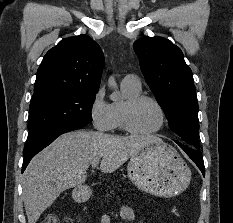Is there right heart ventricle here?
<instances>
[{"instance_id":"right-heart-ventricle-1","label":"right heart ventricle","mask_w":233,"mask_h":223,"mask_svg":"<svg viewBox=\"0 0 233 223\" xmlns=\"http://www.w3.org/2000/svg\"><path fill=\"white\" fill-rule=\"evenodd\" d=\"M123 92V101L113 103L112 106V115H113V129L119 131H126L123 122V107L125 103L134 97H137L141 94V86H123L121 85Z\"/></svg>"}]
</instances>
